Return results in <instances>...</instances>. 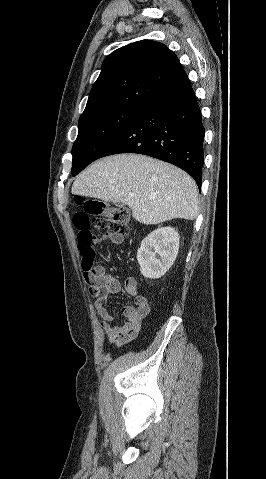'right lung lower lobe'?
<instances>
[{"label": "right lung lower lobe", "instance_id": "right-lung-lower-lobe-1", "mask_svg": "<svg viewBox=\"0 0 266 479\" xmlns=\"http://www.w3.org/2000/svg\"><path fill=\"white\" fill-rule=\"evenodd\" d=\"M204 135L201 111L187 81L152 100L99 158L117 153L148 155L183 169L200 189Z\"/></svg>", "mask_w": 266, "mask_h": 479}]
</instances>
